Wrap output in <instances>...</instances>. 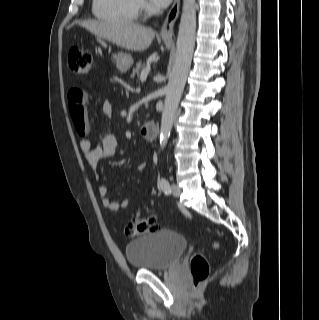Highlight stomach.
<instances>
[{"label":"stomach","mask_w":319,"mask_h":320,"mask_svg":"<svg viewBox=\"0 0 319 320\" xmlns=\"http://www.w3.org/2000/svg\"><path fill=\"white\" fill-rule=\"evenodd\" d=\"M166 46L170 45L165 41ZM114 59L116 61V67L121 73H126L130 67L133 65V58L130 54L119 52L114 55Z\"/></svg>","instance_id":"stomach-1"}]
</instances>
